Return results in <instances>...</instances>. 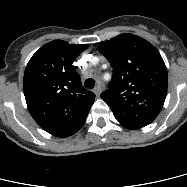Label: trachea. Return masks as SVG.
Segmentation results:
<instances>
[{
  "label": "trachea",
  "mask_w": 187,
  "mask_h": 187,
  "mask_svg": "<svg viewBox=\"0 0 187 187\" xmlns=\"http://www.w3.org/2000/svg\"><path fill=\"white\" fill-rule=\"evenodd\" d=\"M84 86L87 88V89H93L94 86H95V80L92 79V78H89L85 81L84 83Z\"/></svg>",
  "instance_id": "1"
}]
</instances>
